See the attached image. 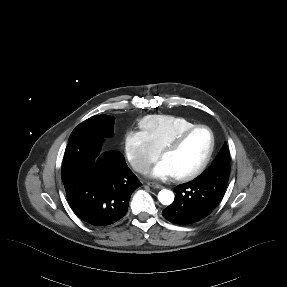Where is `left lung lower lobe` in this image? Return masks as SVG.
Masks as SVG:
<instances>
[{"instance_id": "left-lung-lower-lobe-1", "label": "left lung lower lobe", "mask_w": 287, "mask_h": 287, "mask_svg": "<svg viewBox=\"0 0 287 287\" xmlns=\"http://www.w3.org/2000/svg\"><path fill=\"white\" fill-rule=\"evenodd\" d=\"M229 175L220 169L213 171L210 181L193 180L175 188L174 202L162 215L170 222L188 225L200 221L217 206L223 197Z\"/></svg>"}]
</instances>
